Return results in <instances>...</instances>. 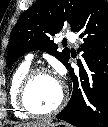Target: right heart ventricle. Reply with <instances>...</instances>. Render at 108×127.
<instances>
[{
  "label": "right heart ventricle",
  "mask_w": 108,
  "mask_h": 127,
  "mask_svg": "<svg viewBox=\"0 0 108 127\" xmlns=\"http://www.w3.org/2000/svg\"><path fill=\"white\" fill-rule=\"evenodd\" d=\"M30 70V63L23 62L13 71L9 83V100L14 114L19 118H27L28 115L22 111L18 104V89L20 83Z\"/></svg>",
  "instance_id": "e07e8e85"
}]
</instances>
